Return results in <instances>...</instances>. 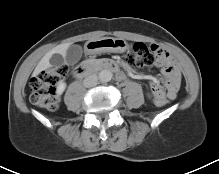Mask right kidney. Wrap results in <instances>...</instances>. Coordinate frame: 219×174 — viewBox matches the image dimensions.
<instances>
[{"instance_id":"obj_1","label":"right kidney","mask_w":219,"mask_h":174,"mask_svg":"<svg viewBox=\"0 0 219 174\" xmlns=\"http://www.w3.org/2000/svg\"><path fill=\"white\" fill-rule=\"evenodd\" d=\"M65 88H66V83L63 81H60L56 87L57 96L61 95L64 92Z\"/></svg>"}]
</instances>
